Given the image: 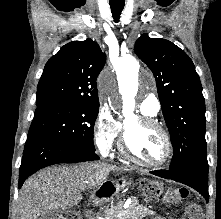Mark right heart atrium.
I'll use <instances>...</instances> for the list:
<instances>
[{"instance_id":"1","label":"right heart atrium","mask_w":221,"mask_h":219,"mask_svg":"<svg viewBox=\"0 0 221 219\" xmlns=\"http://www.w3.org/2000/svg\"><path fill=\"white\" fill-rule=\"evenodd\" d=\"M121 124L108 108H101L93 125V137L98 151L108 155L121 133Z\"/></svg>"}]
</instances>
